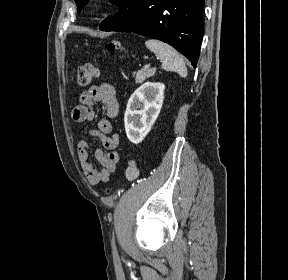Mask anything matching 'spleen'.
I'll return each mask as SVG.
<instances>
[{
  "mask_svg": "<svg viewBox=\"0 0 288 280\" xmlns=\"http://www.w3.org/2000/svg\"><path fill=\"white\" fill-rule=\"evenodd\" d=\"M145 45L161 59L164 70L175 71L184 78L187 76V67L184 60L173 47L155 39L147 40Z\"/></svg>",
  "mask_w": 288,
  "mask_h": 280,
  "instance_id": "spleen-1",
  "label": "spleen"
}]
</instances>
